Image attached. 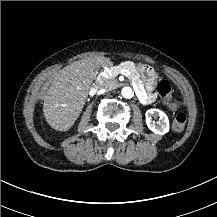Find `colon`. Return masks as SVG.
I'll return each mask as SVG.
<instances>
[{
  "label": "colon",
  "instance_id": "1",
  "mask_svg": "<svg viewBox=\"0 0 217 217\" xmlns=\"http://www.w3.org/2000/svg\"><path fill=\"white\" fill-rule=\"evenodd\" d=\"M157 93L161 97L164 104L171 110L177 108L172 99V86L168 80H160L157 84ZM187 116L184 111H178L173 118V129L175 131H182L185 127Z\"/></svg>",
  "mask_w": 217,
  "mask_h": 217
}]
</instances>
